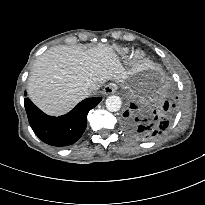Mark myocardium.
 <instances>
[{
	"mask_svg": "<svg viewBox=\"0 0 205 205\" xmlns=\"http://www.w3.org/2000/svg\"><path fill=\"white\" fill-rule=\"evenodd\" d=\"M145 57V54L142 50H135L133 53H132V60L135 62V63H139L141 62Z\"/></svg>",
	"mask_w": 205,
	"mask_h": 205,
	"instance_id": "obj_1",
	"label": "myocardium"
}]
</instances>
